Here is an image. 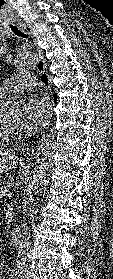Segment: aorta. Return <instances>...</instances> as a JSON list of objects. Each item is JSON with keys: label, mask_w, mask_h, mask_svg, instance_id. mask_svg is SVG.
Segmentation results:
<instances>
[{"label": "aorta", "mask_w": 113, "mask_h": 279, "mask_svg": "<svg viewBox=\"0 0 113 279\" xmlns=\"http://www.w3.org/2000/svg\"><path fill=\"white\" fill-rule=\"evenodd\" d=\"M18 68H31L35 64L33 51L22 52L15 62ZM53 141L49 136H44L39 141L37 148L36 163L31 181V194L41 196L49 183L53 168Z\"/></svg>", "instance_id": "1"}]
</instances>
